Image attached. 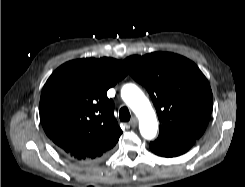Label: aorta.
Segmentation results:
<instances>
[{
  "instance_id": "aorta-1",
  "label": "aorta",
  "mask_w": 245,
  "mask_h": 187,
  "mask_svg": "<svg viewBox=\"0 0 245 187\" xmlns=\"http://www.w3.org/2000/svg\"><path fill=\"white\" fill-rule=\"evenodd\" d=\"M121 97L138 117L141 135L148 140L154 138L158 129L156 115L141 89L134 84H126L121 89Z\"/></svg>"
}]
</instances>
